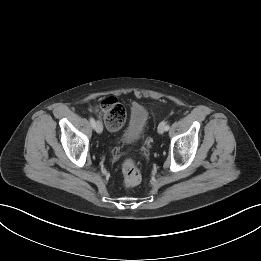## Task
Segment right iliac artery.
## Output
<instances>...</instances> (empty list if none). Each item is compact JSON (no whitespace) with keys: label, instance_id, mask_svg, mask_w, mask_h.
<instances>
[{"label":"right iliac artery","instance_id":"1","mask_svg":"<svg viewBox=\"0 0 261 261\" xmlns=\"http://www.w3.org/2000/svg\"><path fill=\"white\" fill-rule=\"evenodd\" d=\"M89 120H90V123H91L92 127L95 128V123L96 122H95L94 118L90 117Z\"/></svg>","mask_w":261,"mask_h":261}]
</instances>
